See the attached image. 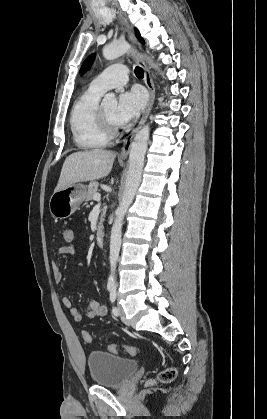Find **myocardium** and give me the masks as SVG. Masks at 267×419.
Returning <instances> with one entry per match:
<instances>
[{
  "label": "myocardium",
  "instance_id": "f54148a6",
  "mask_svg": "<svg viewBox=\"0 0 267 419\" xmlns=\"http://www.w3.org/2000/svg\"><path fill=\"white\" fill-rule=\"evenodd\" d=\"M98 120L102 131L109 137H114L119 133L118 125L113 124L107 117L103 106H99Z\"/></svg>",
  "mask_w": 267,
  "mask_h": 419
}]
</instances>
